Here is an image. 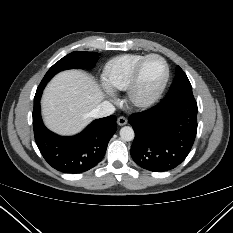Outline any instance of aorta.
Returning <instances> with one entry per match:
<instances>
[{"label":"aorta","instance_id":"1","mask_svg":"<svg viewBox=\"0 0 233 233\" xmlns=\"http://www.w3.org/2000/svg\"><path fill=\"white\" fill-rule=\"evenodd\" d=\"M135 133L132 127L124 126L120 130V137L123 141H132L134 139Z\"/></svg>","mask_w":233,"mask_h":233}]
</instances>
